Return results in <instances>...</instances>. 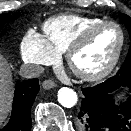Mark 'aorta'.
Returning <instances> with one entry per match:
<instances>
[{"mask_svg":"<svg viewBox=\"0 0 131 131\" xmlns=\"http://www.w3.org/2000/svg\"><path fill=\"white\" fill-rule=\"evenodd\" d=\"M77 94L70 88L62 87L58 91V102L66 108H71L77 103Z\"/></svg>","mask_w":131,"mask_h":131,"instance_id":"1","label":"aorta"}]
</instances>
